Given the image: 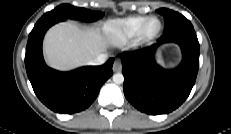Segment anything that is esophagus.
Returning a JSON list of instances; mask_svg holds the SVG:
<instances>
[{
    "instance_id": "34e87169",
    "label": "esophagus",
    "mask_w": 231,
    "mask_h": 134,
    "mask_svg": "<svg viewBox=\"0 0 231 134\" xmlns=\"http://www.w3.org/2000/svg\"><path fill=\"white\" fill-rule=\"evenodd\" d=\"M122 70V64L120 62V60H115L114 64H113V71L114 72H120Z\"/></svg>"
}]
</instances>
